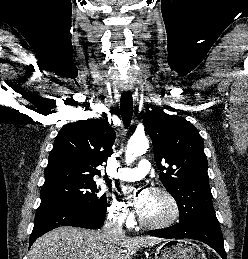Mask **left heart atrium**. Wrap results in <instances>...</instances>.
Here are the masks:
<instances>
[{
	"instance_id": "1",
	"label": "left heart atrium",
	"mask_w": 248,
	"mask_h": 259,
	"mask_svg": "<svg viewBox=\"0 0 248 259\" xmlns=\"http://www.w3.org/2000/svg\"><path fill=\"white\" fill-rule=\"evenodd\" d=\"M124 193L132 200V204L137 213L142 215L150 200L151 192L149 190H143L138 194H135L131 189H124Z\"/></svg>"
}]
</instances>
